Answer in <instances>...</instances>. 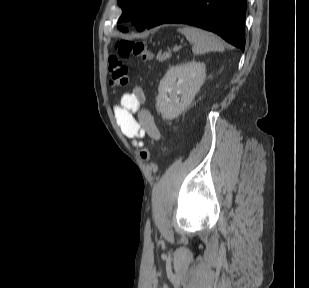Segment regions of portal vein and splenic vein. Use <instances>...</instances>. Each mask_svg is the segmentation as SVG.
<instances>
[{
	"label": "portal vein and splenic vein",
	"instance_id": "1",
	"mask_svg": "<svg viewBox=\"0 0 309 288\" xmlns=\"http://www.w3.org/2000/svg\"><path fill=\"white\" fill-rule=\"evenodd\" d=\"M177 51H179V47H178V46H175V47L173 48V52H177Z\"/></svg>",
	"mask_w": 309,
	"mask_h": 288
}]
</instances>
